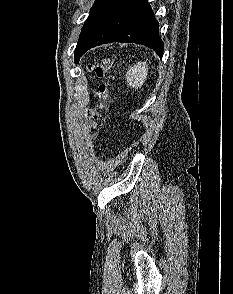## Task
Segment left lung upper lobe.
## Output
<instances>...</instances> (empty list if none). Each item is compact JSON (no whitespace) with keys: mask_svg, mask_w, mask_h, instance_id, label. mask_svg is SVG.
I'll return each mask as SVG.
<instances>
[{"mask_svg":"<svg viewBox=\"0 0 233 294\" xmlns=\"http://www.w3.org/2000/svg\"><path fill=\"white\" fill-rule=\"evenodd\" d=\"M111 1L112 0H95V3L93 4L90 10V14L86 22L84 23V26L79 36V40L75 49V62L78 61L79 54H80L84 41L86 40L92 28L94 27V25L96 24L98 19L101 17L104 10L110 4Z\"/></svg>","mask_w":233,"mask_h":294,"instance_id":"obj_1","label":"left lung upper lobe"}]
</instances>
